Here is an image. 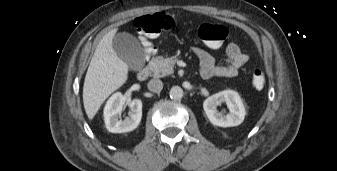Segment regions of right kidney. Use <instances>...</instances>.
<instances>
[{
    "label": "right kidney",
    "mask_w": 337,
    "mask_h": 171,
    "mask_svg": "<svg viewBox=\"0 0 337 171\" xmlns=\"http://www.w3.org/2000/svg\"><path fill=\"white\" fill-rule=\"evenodd\" d=\"M125 98L120 92L113 94L107 101L104 108V121L108 131L112 133L130 132L137 128L142 118V102L140 99H133L128 105L131 113L122 120L121 113L125 106Z\"/></svg>",
    "instance_id": "right-kidney-1"
}]
</instances>
